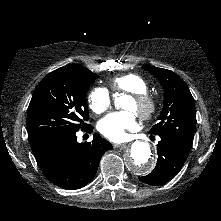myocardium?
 Instances as JSON below:
<instances>
[{
    "label": "myocardium",
    "mask_w": 221,
    "mask_h": 221,
    "mask_svg": "<svg viewBox=\"0 0 221 221\" xmlns=\"http://www.w3.org/2000/svg\"><path fill=\"white\" fill-rule=\"evenodd\" d=\"M132 99L136 104V114L142 120L150 119L157 110V102L149 93H133Z\"/></svg>",
    "instance_id": "myocardium-1"
}]
</instances>
